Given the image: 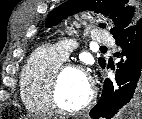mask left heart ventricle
Here are the masks:
<instances>
[{
    "mask_svg": "<svg viewBox=\"0 0 142 119\" xmlns=\"http://www.w3.org/2000/svg\"><path fill=\"white\" fill-rule=\"evenodd\" d=\"M90 93V84L87 76L76 70H68L62 77L58 99L67 109L77 108L83 104Z\"/></svg>",
    "mask_w": 142,
    "mask_h": 119,
    "instance_id": "obj_1",
    "label": "left heart ventricle"
}]
</instances>
